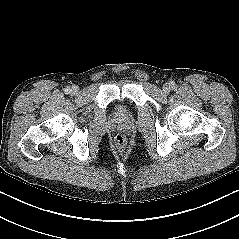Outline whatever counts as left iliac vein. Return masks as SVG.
Returning <instances> with one entry per match:
<instances>
[{
    "instance_id": "1",
    "label": "left iliac vein",
    "mask_w": 239,
    "mask_h": 239,
    "mask_svg": "<svg viewBox=\"0 0 239 239\" xmlns=\"http://www.w3.org/2000/svg\"><path fill=\"white\" fill-rule=\"evenodd\" d=\"M169 90H170V88H169L168 85H164V86H163V91H164L165 93L169 92Z\"/></svg>"
}]
</instances>
